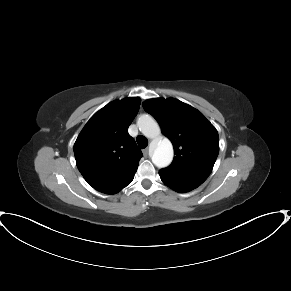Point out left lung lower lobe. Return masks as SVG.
<instances>
[{"label": "left lung lower lobe", "instance_id": "1", "mask_svg": "<svg viewBox=\"0 0 291 291\" xmlns=\"http://www.w3.org/2000/svg\"><path fill=\"white\" fill-rule=\"evenodd\" d=\"M160 177L164 184H166L168 187L174 189L177 192H188L200 185L197 183L177 181L171 178H167L163 175H160Z\"/></svg>", "mask_w": 291, "mask_h": 291}]
</instances>
